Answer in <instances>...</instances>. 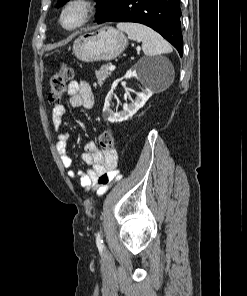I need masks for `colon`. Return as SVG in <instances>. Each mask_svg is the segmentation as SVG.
Returning a JSON list of instances; mask_svg holds the SVG:
<instances>
[{
    "mask_svg": "<svg viewBox=\"0 0 247 296\" xmlns=\"http://www.w3.org/2000/svg\"><path fill=\"white\" fill-rule=\"evenodd\" d=\"M74 71L71 67L63 65L61 69L55 73L49 86L48 100L51 104H58L63 99L68 81L73 77ZM115 145V136L112 130L104 129L99 136V146L104 150H113ZM109 176L100 177L101 184H108Z\"/></svg>",
    "mask_w": 247,
    "mask_h": 296,
    "instance_id": "obj_1",
    "label": "colon"
}]
</instances>
